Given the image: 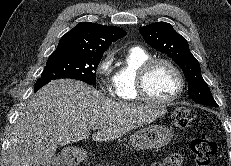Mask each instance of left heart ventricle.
<instances>
[{"instance_id": "left-heart-ventricle-1", "label": "left heart ventricle", "mask_w": 231, "mask_h": 166, "mask_svg": "<svg viewBox=\"0 0 231 166\" xmlns=\"http://www.w3.org/2000/svg\"><path fill=\"white\" fill-rule=\"evenodd\" d=\"M147 90L156 99L169 98L178 87L174 71L165 64L154 66L147 77Z\"/></svg>"}]
</instances>
